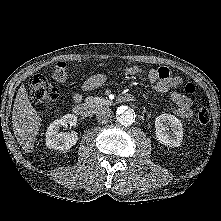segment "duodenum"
<instances>
[{
  "mask_svg": "<svg viewBox=\"0 0 221 221\" xmlns=\"http://www.w3.org/2000/svg\"><path fill=\"white\" fill-rule=\"evenodd\" d=\"M118 100L126 101V102H133L136 100L135 95L132 94H125L121 95ZM94 104H79L74 107V113L83 118H89L93 114Z\"/></svg>",
  "mask_w": 221,
  "mask_h": 221,
  "instance_id": "obj_1",
  "label": "duodenum"
}]
</instances>
